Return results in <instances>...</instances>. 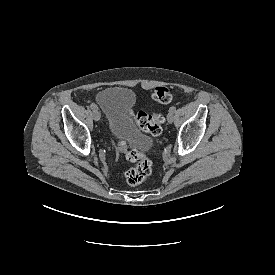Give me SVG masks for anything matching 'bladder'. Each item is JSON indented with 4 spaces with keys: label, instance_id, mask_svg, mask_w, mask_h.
I'll use <instances>...</instances> for the list:
<instances>
[{
    "label": "bladder",
    "instance_id": "bladder-1",
    "mask_svg": "<svg viewBox=\"0 0 275 275\" xmlns=\"http://www.w3.org/2000/svg\"><path fill=\"white\" fill-rule=\"evenodd\" d=\"M134 99L135 94L131 89L112 86L97 94L96 104L106 115L112 138L120 139L135 150L146 151L152 147V139L147 133L138 132L135 119L127 114Z\"/></svg>",
    "mask_w": 275,
    "mask_h": 275
}]
</instances>
